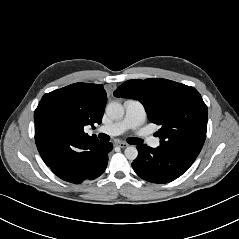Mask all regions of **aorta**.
<instances>
[{"mask_svg":"<svg viewBox=\"0 0 239 239\" xmlns=\"http://www.w3.org/2000/svg\"><path fill=\"white\" fill-rule=\"evenodd\" d=\"M106 113L111 119L119 120L124 116V108L119 102H111L106 107ZM124 153L126 158L131 161L135 160L138 156V151L134 146L127 147Z\"/></svg>","mask_w":239,"mask_h":239,"instance_id":"obj_1","label":"aorta"}]
</instances>
